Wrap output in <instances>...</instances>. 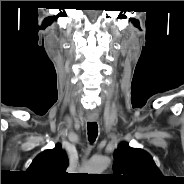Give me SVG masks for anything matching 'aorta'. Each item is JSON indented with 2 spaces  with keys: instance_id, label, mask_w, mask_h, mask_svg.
Returning <instances> with one entry per match:
<instances>
[{
  "instance_id": "obj_1",
  "label": "aorta",
  "mask_w": 184,
  "mask_h": 184,
  "mask_svg": "<svg viewBox=\"0 0 184 184\" xmlns=\"http://www.w3.org/2000/svg\"><path fill=\"white\" fill-rule=\"evenodd\" d=\"M109 159L107 157H98L89 163L87 171L89 174H101L108 166Z\"/></svg>"
}]
</instances>
